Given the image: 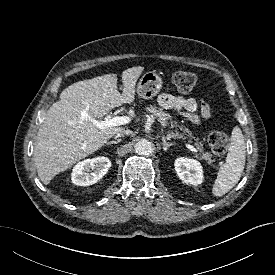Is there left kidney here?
Masks as SVG:
<instances>
[{"mask_svg": "<svg viewBox=\"0 0 275 275\" xmlns=\"http://www.w3.org/2000/svg\"><path fill=\"white\" fill-rule=\"evenodd\" d=\"M176 173L184 183L199 185L203 180V170L200 162L195 159L178 158L174 163Z\"/></svg>", "mask_w": 275, "mask_h": 275, "instance_id": "1", "label": "left kidney"}]
</instances>
